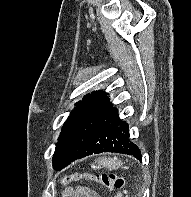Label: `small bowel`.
<instances>
[{"instance_id": "1", "label": "small bowel", "mask_w": 191, "mask_h": 197, "mask_svg": "<svg viewBox=\"0 0 191 197\" xmlns=\"http://www.w3.org/2000/svg\"><path fill=\"white\" fill-rule=\"evenodd\" d=\"M64 197H99L98 194L85 187H68L64 191Z\"/></svg>"}]
</instances>
